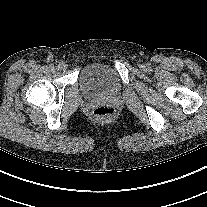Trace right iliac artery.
Returning <instances> with one entry per match:
<instances>
[{"mask_svg": "<svg viewBox=\"0 0 207 207\" xmlns=\"http://www.w3.org/2000/svg\"><path fill=\"white\" fill-rule=\"evenodd\" d=\"M62 63H63V62H60V63H59L58 68L60 67V65H61Z\"/></svg>", "mask_w": 207, "mask_h": 207, "instance_id": "82829eb1", "label": "right iliac artery"}]
</instances>
